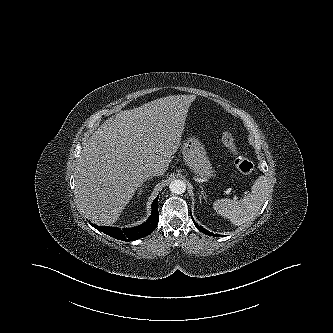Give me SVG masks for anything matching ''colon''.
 <instances>
[{"mask_svg": "<svg viewBox=\"0 0 333 333\" xmlns=\"http://www.w3.org/2000/svg\"><path fill=\"white\" fill-rule=\"evenodd\" d=\"M222 143L234 158L236 169L243 175H249L254 171L253 163L239 152L234 135L230 129L222 133Z\"/></svg>", "mask_w": 333, "mask_h": 333, "instance_id": "1", "label": "colon"}]
</instances>
